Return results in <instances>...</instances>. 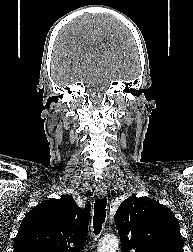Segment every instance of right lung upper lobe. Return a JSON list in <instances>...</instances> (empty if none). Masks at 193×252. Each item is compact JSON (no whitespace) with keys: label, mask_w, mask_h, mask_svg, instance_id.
<instances>
[{"label":"right lung upper lobe","mask_w":193,"mask_h":252,"mask_svg":"<svg viewBox=\"0 0 193 252\" xmlns=\"http://www.w3.org/2000/svg\"><path fill=\"white\" fill-rule=\"evenodd\" d=\"M91 206L80 209L73 197L49 199L30 210L14 240V252H81Z\"/></svg>","instance_id":"1"}]
</instances>
